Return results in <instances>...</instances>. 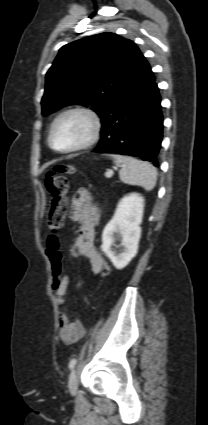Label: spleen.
I'll return each mask as SVG.
<instances>
[{
  "label": "spleen",
  "instance_id": "3e777b00",
  "mask_svg": "<svg viewBox=\"0 0 208 425\" xmlns=\"http://www.w3.org/2000/svg\"><path fill=\"white\" fill-rule=\"evenodd\" d=\"M113 158L116 160V163L122 167L119 172V177L122 182L141 186L147 191L155 187L157 170L152 164L122 155H113Z\"/></svg>",
  "mask_w": 208,
  "mask_h": 425
}]
</instances>
